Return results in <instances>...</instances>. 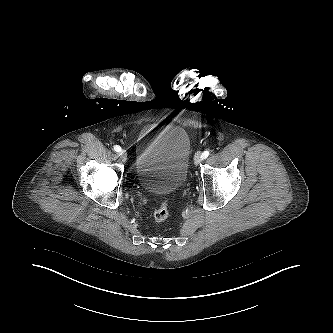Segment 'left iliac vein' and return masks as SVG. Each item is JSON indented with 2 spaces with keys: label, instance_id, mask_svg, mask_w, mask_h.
Listing matches in <instances>:
<instances>
[{
  "label": "left iliac vein",
  "instance_id": "left-iliac-vein-1",
  "mask_svg": "<svg viewBox=\"0 0 333 333\" xmlns=\"http://www.w3.org/2000/svg\"><path fill=\"white\" fill-rule=\"evenodd\" d=\"M201 156L199 153H197L195 156H194V164L195 165H198L200 162H201Z\"/></svg>",
  "mask_w": 333,
  "mask_h": 333
}]
</instances>
